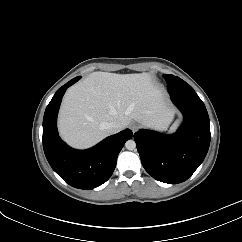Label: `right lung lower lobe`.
<instances>
[{
	"instance_id": "right-lung-lower-lobe-1",
	"label": "right lung lower lobe",
	"mask_w": 242,
	"mask_h": 242,
	"mask_svg": "<svg viewBox=\"0 0 242 242\" xmlns=\"http://www.w3.org/2000/svg\"><path fill=\"white\" fill-rule=\"evenodd\" d=\"M79 79L63 85L48 104L43 118V148L49 164L62 179L75 188L90 190L109 179L119 152L133 133L126 129L87 150L66 145L57 132V114L66 89Z\"/></svg>"
}]
</instances>
